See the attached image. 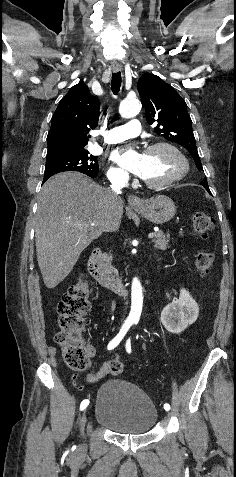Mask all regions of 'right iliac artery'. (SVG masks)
<instances>
[{"label":"right iliac artery","mask_w":236,"mask_h":477,"mask_svg":"<svg viewBox=\"0 0 236 477\" xmlns=\"http://www.w3.org/2000/svg\"><path fill=\"white\" fill-rule=\"evenodd\" d=\"M133 322L132 321H126L122 328L120 329L119 333L109 342L108 346H107V349L108 350H112L114 349L116 346H118V344L121 342V340L124 338V336L126 335L127 331L129 330V328L132 326ZM90 401L88 399H85L81 402L80 404V410L83 411L88 405H89Z\"/></svg>","instance_id":"1"}]
</instances>
